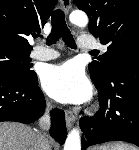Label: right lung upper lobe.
<instances>
[{
  "instance_id": "1",
  "label": "right lung upper lobe",
  "mask_w": 139,
  "mask_h": 150,
  "mask_svg": "<svg viewBox=\"0 0 139 150\" xmlns=\"http://www.w3.org/2000/svg\"><path fill=\"white\" fill-rule=\"evenodd\" d=\"M57 0H0V46L31 52L27 38L39 32Z\"/></svg>"
}]
</instances>
